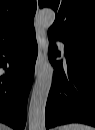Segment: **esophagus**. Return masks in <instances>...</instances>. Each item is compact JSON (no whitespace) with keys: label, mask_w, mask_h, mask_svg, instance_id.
I'll return each mask as SVG.
<instances>
[{"label":"esophagus","mask_w":95,"mask_h":130,"mask_svg":"<svg viewBox=\"0 0 95 130\" xmlns=\"http://www.w3.org/2000/svg\"><path fill=\"white\" fill-rule=\"evenodd\" d=\"M35 23H36V38L38 44V55L35 64V76L38 75L40 69L43 66L44 60L46 58V32L44 28L41 26L38 19V8L35 15Z\"/></svg>","instance_id":"34e87169"}]
</instances>
